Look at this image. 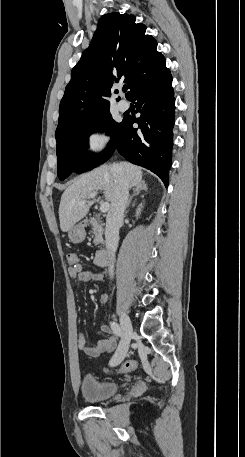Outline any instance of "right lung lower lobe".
<instances>
[{"instance_id": "1", "label": "right lung lower lobe", "mask_w": 245, "mask_h": 457, "mask_svg": "<svg viewBox=\"0 0 245 457\" xmlns=\"http://www.w3.org/2000/svg\"><path fill=\"white\" fill-rule=\"evenodd\" d=\"M139 118L125 116L115 149L131 163L157 174L168 186L171 167L175 98L168 68L138 84L130 94ZM137 123L138 129L133 128Z\"/></svg>"}]
</instances>
